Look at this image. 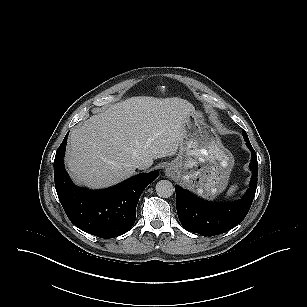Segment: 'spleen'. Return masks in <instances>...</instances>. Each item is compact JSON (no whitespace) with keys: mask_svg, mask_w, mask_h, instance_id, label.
<instances>
[{"mask_svg":"<svg viewBox=\"0 0 307 307\" xmlns=\"http://www.w3.org/2000/svg\"><path fill=\"white\" fill-rule=\"evenodd\" d=\"M238 189V186L236 184L232 185L228 192H227V196H232L234 195L235 191Z\"/></svg>","mask_w":307,"mask_h":307,"instance_id":"spleen-1","label":"spleen"}]
</instances>
